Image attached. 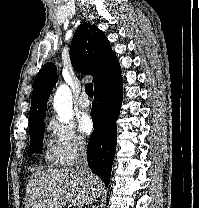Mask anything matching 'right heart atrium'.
I'll return each instance as SVG.
<instances>
[{"label":"right heart atrium","mask_w":199,"mask_h":208,"mask_svg":"<svg viewBox=\"0 0 199 208\" xmlns=\"http://www.w3.org/2000/svg\"><path fill=\"white\" fill-rule=\"evenodd\" d=\"M47 130L51 137L50 155L59 165H71L85 153L86 141L76 133L72 124H64L57 119H51Z\"/></svg>","instance_id":"obj_1"}]
</instances>
